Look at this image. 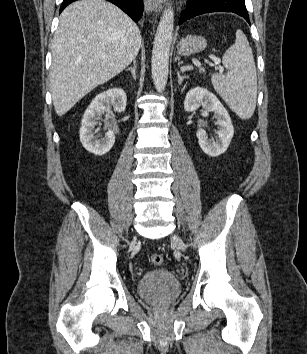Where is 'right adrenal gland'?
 <instances>
[{
	"label": "right adrenal gland",
	"mask_w": 307,
	"mask_h": 354,
	"mask_svg": "<svg viewBox=\"0 0 307 354\" xmlns=\"http://www.w3.org/2000/svg\"><path fill=\"white\" fill-rule=\"evenodd\" d=\"M126 71H130L134 80H136V60H133V66L128 68Z\"/></svg>",
	"instance_id": "1"
}]
</instances>
